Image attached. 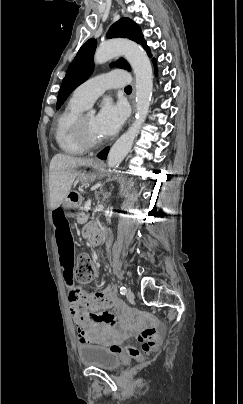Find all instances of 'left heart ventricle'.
<instances>
[{
  "instance_id": "obj_1",
  "label": "left heart ventricle",
  "mask_w": 243,
  "mask_h": 404,
  "mask_svg": "<svg viewBox=\"0 0 243 404\" xmlns=\"http://www.w3.org/2000/svg\"><path fill=\"white\" fill-rule=\"evenodd\" d=\"M83 127L87 136L94 140H99L95 132V117L90 114H86L83 122Z\"/></svg>"
}]
</instances>
